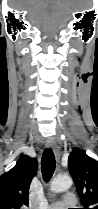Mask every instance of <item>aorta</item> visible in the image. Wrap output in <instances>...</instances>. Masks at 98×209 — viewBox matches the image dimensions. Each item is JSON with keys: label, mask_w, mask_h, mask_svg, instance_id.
<instances>
[{"label": "aorta", "mask_w": 98, "mask_h": 209, "mask_svg": "<svg viewBox=\"0 0 98 209\" xmlns=\"http://www.w3.org/2000/svg\"><path fill=\"white\" fill-rule=\"evenodd\" d=\"M72 179L69 176H59L52 180L50 191L53 193L63 192L72 186Z\"/></svg>", "instance_id": "762f6f07"}]
</instances>
